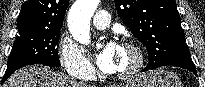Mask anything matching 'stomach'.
<instances>
[{
    "label": "stomach",
    "mask_w": 205,
    "mask_h": 87,
    "mask_svg": "<svg viewBox=\"0 0 205 87\" xmlns=\"http://www.w3.org/2000/svg\"><path fill=\"white\" fill-rule=\"evenodd\" d=\"M126 87H181V82L174 73L153 70L140 74Z\"/></svg>",
    "instance_id": "obj_1"
}]
</instances>
